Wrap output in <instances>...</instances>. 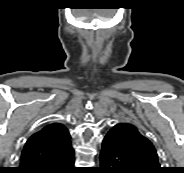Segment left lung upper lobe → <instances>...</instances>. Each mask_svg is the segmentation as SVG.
<instances>
[{"mask_svg": "<svg viewBox=\"0 0 184 173\" xmlns=\"http://www.w3.org/2000/svg\"><path fill=\"white\" fill-rule=\"evenodd\" d=\"M117 150L138 173H161L153 144L130 123H118L107 133Z\"/></svg>", "mask_w": 184, "mask_h": 173, "instance_id": "5c2ea615", "label": "left lung upper lobe"}]
</instances>
